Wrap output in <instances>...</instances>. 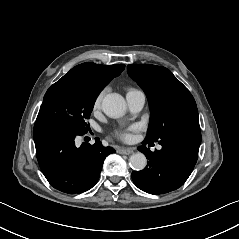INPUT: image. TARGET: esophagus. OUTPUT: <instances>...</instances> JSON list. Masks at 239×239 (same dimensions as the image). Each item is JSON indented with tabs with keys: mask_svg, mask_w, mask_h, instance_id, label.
Wrapping results in <instances>:
<instances>
[{
	"mask_svg": "<svg viewBox=\"0 0 239 239\" xmlns=\"http://www.w3.org/2000/svg\"><path fill=\"white\" fill-rule=\"evenodd\" d=\"M117 152L119 154L130 155L133 153V149L132 148H121V149H118Z\"/></svg>",
	"mask_w": 239,
	"mask_h": 239,
	"instance_id": "esophagus-1",
	"label": "esophagus"
}]
</instances>
